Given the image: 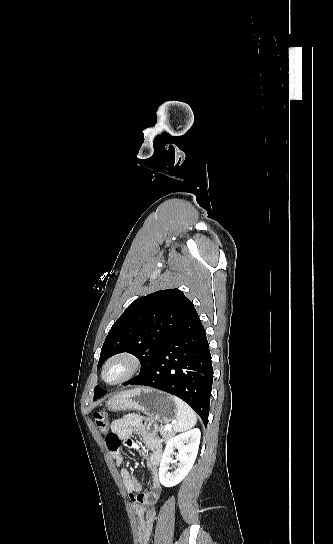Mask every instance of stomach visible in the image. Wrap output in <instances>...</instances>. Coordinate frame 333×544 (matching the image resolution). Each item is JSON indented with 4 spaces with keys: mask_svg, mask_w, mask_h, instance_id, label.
<instances>
[{
    "mask_svg": "<svg viewBox=\"0 0 333 544\" xmlns=\"http://www.w3.org/2000/svg\"><path fill=\"white\" fill-rule=\"evenodd\" d=\"M107 407L112 411L137 410L160 423L172 421L177 413L170 394L147 387L119 392L107 401Z\"/></svg>",
    "mask_w": 333,
    "mask_h": 544,
    "instance_id": "0dacf381",
    "label": "stomach"
}]
</instances>
